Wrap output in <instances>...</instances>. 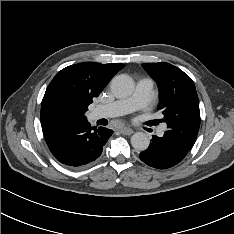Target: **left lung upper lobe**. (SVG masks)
I'll return each mask as SVG.
<instances>
[{"label": "left lung upper lobe", "mask_w": 234, "mask_h": 234, "mask_svg": "<svg viewBox=\"0 0 234 234\" xmlns=\"http://www.w3.org/2000/svg\"><path fill=\"white\" fill-rule=\"evenodd\" d=\"M143 68L157 82L160 103L169 136L190 149L200 127L199 99L192 79L169 63H144Z\"/></svg>", "instance_id": "5c2ea615"}]
</instances>
